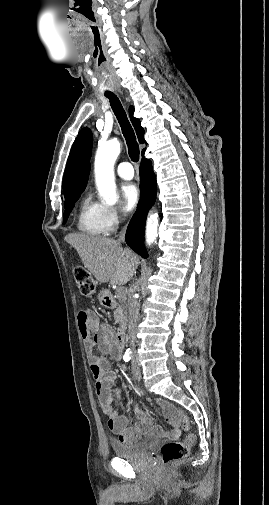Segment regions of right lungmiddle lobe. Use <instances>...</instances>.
<instances>
[{
  "label": "right lung middle lobe",
  "instance_id": "obj_1",
  "mask_svg": "<svg viewBox=\"0 0 269 505\" xmlns=\"http://www.w3.org/2000/svg\"><path fill=\"white\" fill-rule=\"evenodd\" d=\"M82 192L77 193V194L73 195L72 197H70L69 199L65 200V212L63 215V217H64L63 224L66 223L68 216H69L72 208L74 207V203L79 199Z\"/></svg>",
  "mask_w": 269,
  "mask_h": 505
}]
</instances>
